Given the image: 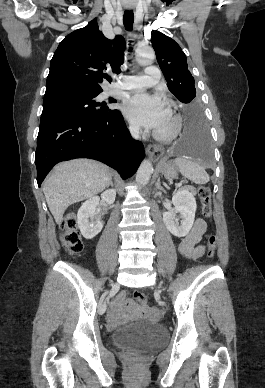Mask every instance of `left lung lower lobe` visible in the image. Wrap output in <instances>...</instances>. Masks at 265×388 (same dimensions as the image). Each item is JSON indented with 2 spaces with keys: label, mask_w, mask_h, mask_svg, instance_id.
<instances>
[{
  "label": "left lung lower lobe",
  "mask_w": 265,
  "mask_h": 388,
  "mask_svg": "<svg viewBox=\"0 0 265 388\" xmlns=\"http://www.w3.org/2000/svg\"><path fill=\"white\" fill-rule=\"evenodd\" d=\"M173 152L202 162L211 160L209 131L200 108L185 112L183 135Z\"/></svg>",
  "instance_id": "obj_1"
}]
</instances>
